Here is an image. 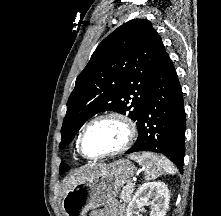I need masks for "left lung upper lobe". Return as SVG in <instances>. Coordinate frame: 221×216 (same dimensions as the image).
Returning <instances> with one entry per match:
<instances>
[{
	"label": "left lung upper lobe",
	"mask_w": 221,
	"mask_h": 216,
	"mask_svg": "<svg viewBox=\"0 0 221 216\" xmlns=\"http://www.w3.org/2000/svg\"><path fill=\"white\" fill-rule=\"evenodd\" d=\"M164 54L161 37L145 19L130 20L106 37L76 79L59 148L67 146L81 126L99 112L128 114L138 124L152 77ZM68 169L62 162L59 174Z\"/></svg>",
	"instance_id": "1"
}]
</instances>
